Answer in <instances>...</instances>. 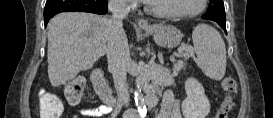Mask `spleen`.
<instances>
[{
  "mask_svg": "<svg viewBox=\"0 0 273 118\" xmlns=\"http://www.w3.org/2000/svg\"><path fill=\"white\" fill-rule=\"evenodd\" d=\"M197 63L209 78L219 81L226 71L225 43L219 32L207 24H199L192 33Z\"/></svg>",
  "mask_w": 273,
  "mask_h": 118,
  "instance_id": "1",
  "label": "spleen"
}]
</instances>
